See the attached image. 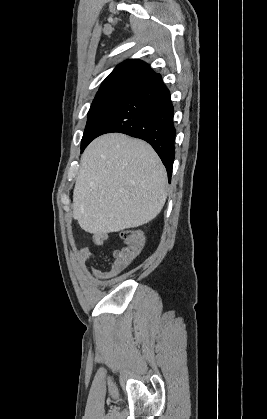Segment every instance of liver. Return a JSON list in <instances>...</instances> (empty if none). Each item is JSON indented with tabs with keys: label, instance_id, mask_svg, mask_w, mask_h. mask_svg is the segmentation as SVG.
<instances>
[{
	"label": "liver",
	"instance_id": "liver-1",
	"mask_svg": "<svg viewBox=\"0 0 267 419\" xmlns=\"http://www.w3.org/2000/svg\"><path fill=\"white\" fill-rule=\"evenodd\" d=\"M167 173L146 142L110 133L84 151L73 192V218L100 235L153 220L166 198Z\"/></svg>",
	"mask_w": 267,
	"mask_h": 419
}]
</instances>
